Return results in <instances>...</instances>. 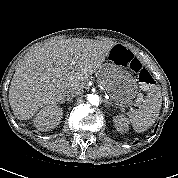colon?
I'll return each instance as SVG.
<instances>
[{"instance_id":"5ec220e1","label":"colon","mask_w":178,"mask_h":178,"mask_svg":"<svg viewBox=\"0 0 178 178\" xmlns=\"http://www.w3.org/2000/svg\"><path fill=\"white\" fill-rule=\"evenodd\" d=\"M130 67L136 72L138 80L144 88H149L153 85L154 80L152 76L142 67L137 59L131 60Z\"/></svg>"}]
</instances>
